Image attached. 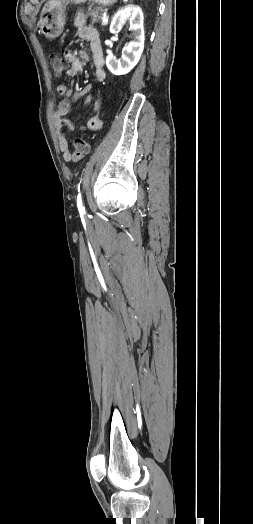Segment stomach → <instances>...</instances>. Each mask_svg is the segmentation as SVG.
I'll list each match as a JSON object with an SVG mask.
<instances>
[{
    "instance_id": "obj_1",
    "label": "stomach",
    "mask_w": 253,
    "mask_h": 524,
    "mask_svg": "<svg viewBox=\"0 0 253 524\" xmlns=\"http://www.w3.org/2000/svg\"><path fill=\"white\" fill-rule=\"evenodd\" d=\"M93 1L102 6L112 5L117 0H49L43 7L38 26L40 32L49 39L61 35L66 21V6Z\"/></svg>"
}]
</instances>
